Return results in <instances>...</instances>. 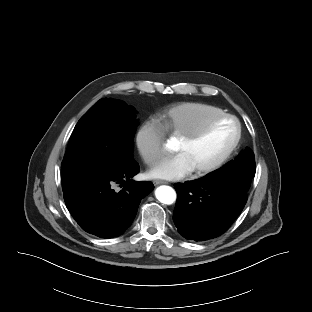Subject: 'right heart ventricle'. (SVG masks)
Masks as SVG:
<instances>
[{
	"instance_id": "1",
	"label": "right heart ventricle",
	"mask_w": 312,
	"mask_h": 312,
	"mask_svg": "<svg viewBox=\"0 0 312 312\" xmlns=\"http://www.w3.org/2000/svg\"><path fill=\"white\" fill-rule=\"evenodd\" d=\"M222 113L221 108L210 104L183 102L163 110L159 119L166 131L181 137L199 128L207 119Z\"/></svg>"
}]
</instances>
